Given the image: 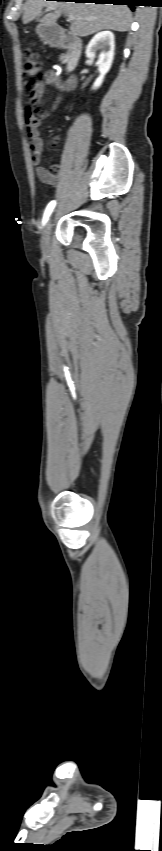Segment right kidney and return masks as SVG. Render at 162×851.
<instances>
[{"mask_svg":"<svg viewBox=\"0 0 162 851\" xmlns=\"http://www.w3.org/2000/svg\"><path fill=\"white\" fill-rule=\"evenodd\" d=\"M114 34L111 31H102L97 33L89 42L86 48V57L93 59L98 51L97 66L99 77L93 84V89H97L103 82L105 74L110 70L114 58Z\"/></svg>","mask_w":162,"mask_h":851,"instance_id":"ca27d5eb","label":"right kidney"}]
</instances>
